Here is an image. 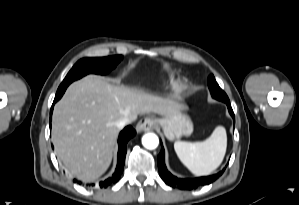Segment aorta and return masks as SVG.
Segmentation results:
<instances>
[{"label": "aorta", "instance_id": "1", "mask_svg": "<svg viewBox=\"0 0 299 205\" xmlns=\"http://www.w3.org/2000/svg\"><path fill=\"white\" fill-rule=\"evenodd\" d=\"M142 144L147 149H155L159 144V138L154 133H147L142 137Z\"/></svg>", "mask_w": 299, "mask_h": 205}]
</instances>
